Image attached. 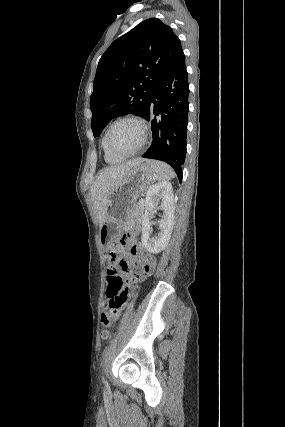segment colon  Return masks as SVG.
<instances>
[{
  "mask_svg": "<svg viewBox=\"0 0 285 427\" xmlns=\"http://www.w3.org/2000/svg\"><path fill=\"white\" fill-rule=\"evenodd\" d=\"M127 234L113 242V249L108 253V258L111 262H115L120 259L119 249L123 248L127 243ZM132 252L137 253L138 247L133 246ZM121 270L125 274H130L131 278L136 279L141 276L147 275L152 270V263L145 261L144 264L135 271H132L126 262L120 263ZM125 280L113 269L108 271V294L103 300V313L101 316V322L103 325L102 337L107 339L110 335V329L112 328L113 322L115 321L118 310L126 300L127 295L125 292ZM119 291L120 295L116 296L114 293Z\"/></svg>",
  "mask_w": 285,
  "mask_h": 427,
  "instance_id": "5ec220e1",
  "label": "colon"
}]
</instances>
